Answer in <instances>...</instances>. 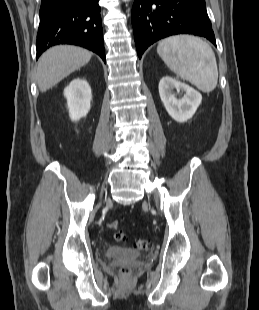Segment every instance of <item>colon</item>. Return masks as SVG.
<instances>
[{
	"mask_svg": "<svg viewBox=\"0 0 259 310\" xmlns=\"http://www.w3.org/2000/svg\"><path fill=\"white\" fill-rule=\"evenodd\" d=\"M109 228L114 230L113 239L116 242H125L126 236L123 232L118 231L119 223L117 221H111L108 224ZM151 247V242L149 240L139 239L134 242V249L139 251L148 250ZM122 272L124 274L129 273V269L127 267L122 268Z\"/></svg>",
	"mask_w": 259,
	"mask_h": 310,
	"instance_id": "colon-1",
	"label": "colon"
}]
</instances>
